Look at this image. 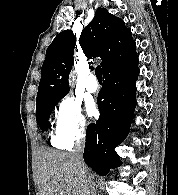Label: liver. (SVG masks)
Listing matches in <instances>:
<instances>
[{
    "label": "liver",
    "mask_w": 178,
    "mask_h": 195,
    "mask_svg": "<svg viewBox=\"0 0 178 195\" xmlns=\"http://www.w3.org/2000/svg\"><path fill=\"white\" fill-rule=\"evenodd\" d=\"M37 184L39 195H89V180L72 153L45 147L38 151Z\"/></svg>",
    "instance_id": "6515ba94"
}]
</instances>
